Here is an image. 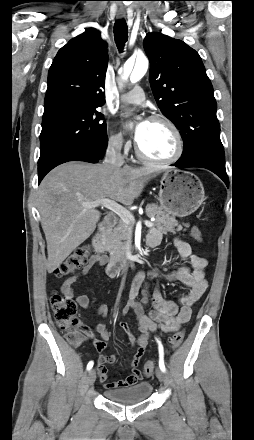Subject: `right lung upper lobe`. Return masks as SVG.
Listing matches in <instances>:
<instances>
[{"label": "right lung upper lobe", "instance_id": "1", "mask_svg": "<svg viewBox=\"0 0 254 440\" xmlns=\"http://www.w3.org/2000/svg\"><path fill=\"white\" fill-rule=\"evenodd\" d=\"M107 63L106 43L98 30L88 29L70 40L49 69L44 107L60 101L98 107L104 104Z\"/></svg>", "mask_w": 254, "mask_h": 440}]
</instances>
